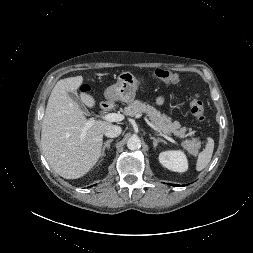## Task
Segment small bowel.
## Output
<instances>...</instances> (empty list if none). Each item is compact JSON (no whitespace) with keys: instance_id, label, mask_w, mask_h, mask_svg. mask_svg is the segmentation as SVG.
<instances>
[{"instance_id":"obj_1","label":"small bowel","mask_w":253,"mask_h":253,"mask_svg":"<svg viewBox=\"0 0 253 253\" xmlns=\"http://www.w3.org/2000/svg\"><path fill=\"white\" fill-rule=\"evenodd\" d=\"M156 103L158 105L162 104L163 103V98L159 97L157 100H156Z\"/></svg>"}]
</instances>
